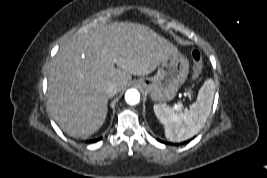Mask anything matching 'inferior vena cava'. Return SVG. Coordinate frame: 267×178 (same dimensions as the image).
Wrapping results in <instances>:
<instances>
[{
    "label": "inferior vena cava",
    "instance_id": "obj_1",
    "mask_svg": "<svg viewBox=\"0 0 267 178\" xmlns=\"http://www.w3.org/2000/svg\"><path fill=\"white\" fill-rule=\"evenodd\" d=\"M105 92L108 97H113L117 93V86L113 83H109L105 88Z\"/></svg>",
    "mask_w": 267,
    "mask_h": 178
}]
</instances>
